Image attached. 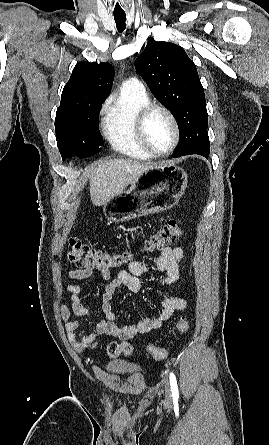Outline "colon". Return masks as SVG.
Returning <instances> with one entry per match:
<instances>
[{
	"label": "colon",
	"mask_w": 269,
	"mask_h": 445,
	"mask_svg": "<svg viewBox=\"0 0 269 445\" xmlns=\"http://www.w3.org/2000/svg\"><path fill=\"white\" fill-rule=\"evenodd\" d=\"M181 235L180 222L169 220L157 231L152 233L144 242V250L155 252L173 245ZM68 260L80 269L111 271L126 266L131 261L128 253L114 254L93 248L75 237H71L68 243ZM189 322L181 317L176 323V329L180 334L189 330ZM151 357L162 360L167 356L165 349L151 345L147 348ZM108 355L117 358L121 355H131L132 347L128 343L111 342L107 347Z\"/></svg>",
	"instance_id": "colon-1"
}]
</instances>
